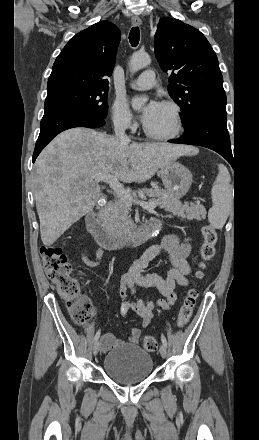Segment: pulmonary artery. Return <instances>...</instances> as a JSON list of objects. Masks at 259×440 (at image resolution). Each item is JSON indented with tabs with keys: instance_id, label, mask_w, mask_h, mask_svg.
I'll list each match as a JSON object with an SVG mask.
<instances>
[{
	"instance_id": "obj_1",
	"label": "pulmonary artery",
	"mask_w": 259,
	"mask_h": 440,
	"mask_svg": "<svg viewBox=\"0 0 259 440\" xmlns=\"http://www.w3.org/2000/svg\"><path fill=\"white\" fill-rule=\"evenodd\" d=\"M155 83V72L151 69H148L131 83V87L137 90H146L153 87Z\"/></svg>"
}]
</instances>
